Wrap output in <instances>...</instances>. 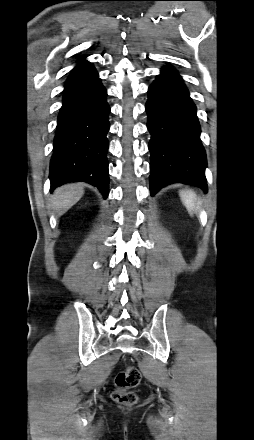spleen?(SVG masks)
I'll use <instances>...</instances> for the list:
<instances>
[{
	"instance_id": "obj_1",
	"label": "spleen",
	"mask_w": 254,
	"mask_h": 440,
	"mask_svg": "<svg viewBox=\"0 0 254 440\" xmlns=\"http://www.w3.org/2000/svg\"><path fill=\"white\" fill-rule=\"evenodd\" d=\"M180 198L188 212L193 215L197 212L200 206V201L192 191H180Z\"/></svg>"
}]
</instances>
